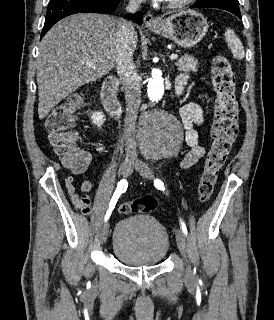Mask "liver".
Instances as JSON below:
<instances>
[{
  "instance_id": "1",
  "label": "liver",
  "mask_w": 274,
  "mask_h": 320,
  "mask_svg": "<svg viewBox=\"0 0 274 320\" xmlns=\"http://www.w3.org/2000/svg\"><path fill=\"white\" fill-rule=\"evenodd\" d=\"M118 22L119 18L103 14H74L47 32L40 42L36 72L39 120L77 88L115 68ZM136 44L134 40L133 50Z\"/></svg>"
}]
</instances>
